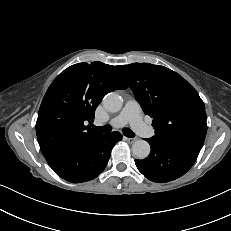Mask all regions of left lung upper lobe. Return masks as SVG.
I'll use <instances>...</instances> for the list:
<instances>
[{
	"instance_id": "1",
	"label": "left lung upper lobe",
	"mask_w": 231,
	"mask_h": 231,
	"mask_svg": "<svg viewBox=\"0 0 231 231\" xmlns=\"http://www.w3.org/2000/svg\"><path fill=\"white\" fill-rule=\"evenodd\" d=\"M119 67L144 113L153 118L152 138L203 145L207 132L205 106L190 83L160 65L132 63Z\"/></svg>"
}]
</instances>
